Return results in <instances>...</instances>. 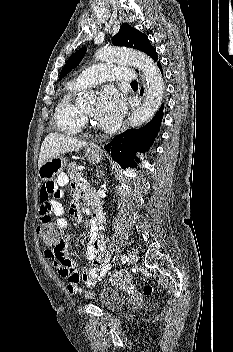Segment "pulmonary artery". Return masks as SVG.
Returning a JSON list of instances; mask_svg holds the SVG:
<instances>
[{
    "instance_id": "1",
    "label": "pulmonary artery",
    "mask_w": 233,
    "mask_h": 352,
    "mask_svg": "<svg viewBox=\"0 0 233 352\" xmlns=\"http://www.w3.org/2000/svg\"><path fill=\"white\" fill-rule=\"evenodd\" d=\"M134 81V72L126 67L98 64L82 71L73 81L79 87L85 88L104 81Z\"/></svg>"
}]
</instances>
